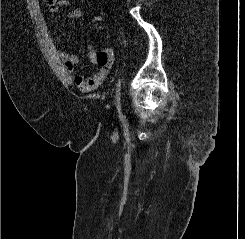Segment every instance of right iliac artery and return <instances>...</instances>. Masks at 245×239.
<instances>
[{
	"instance_id": "82829eb1",
	"label": "right iliac artery",
	"mask_w": 245,
	"mask_h": 239,
	"mask_svg": "<svg viewBox=\"0 0 245 239\" xmlns=\"http://www.w3.org/2000/svg\"><path fill=\"white\" fill-rule=\"evenodd\" d=\"M116 108L118 110V112L120 113L121 111V101H120V98H121V81L119 79L118 83L116 84Z\"/></svg>"
}]
</instances>
